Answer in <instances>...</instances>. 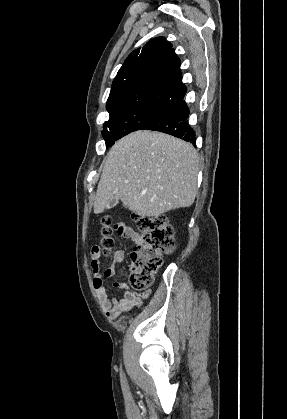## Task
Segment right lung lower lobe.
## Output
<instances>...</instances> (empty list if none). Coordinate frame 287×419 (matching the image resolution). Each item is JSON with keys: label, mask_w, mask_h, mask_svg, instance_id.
<instances>
[{"label": "right lung lower lobe", "mask_w": 287, "mask_h": 419, "mask_svg": "<svg viewBox=\"0 0 287 419\" xmlns=\"http://www.w3.org/2000/svg\"><path fill=\"white\" fill-rule=\"evenodd\" d=\"M188 116L189 109L181 99L144 124L140 130L164 132L195 145V134L188 124Z\"/></svg>", "instance_id": "obj_1"}]
</instances>
